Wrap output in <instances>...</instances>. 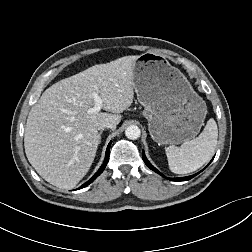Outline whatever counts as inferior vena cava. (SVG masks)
<instances>
[{
	"label": "inferior vena cava",
	"instance_id": "inferior-vena-cava-1",
	"mask_svg": "<svg viewBox=\"0 0 252 252\" xmlns=\"http://www.w3.org/2000/svg\"><path fill=\"white\" fill-rule=\"evenodd\" d=\"M104 128L113 129V128H115V125L110 122L104 121L99 124L98 129L100 130V129H104Z\"/></svg>",
	"mask_w": 252,
	"mask_h": 252
}]
</instances>
